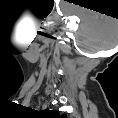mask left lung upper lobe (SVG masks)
Instances as JSON below:
<instances>
[{
  "mask_svg": "<svg viewBox=\"0 0 118 118\" xmlns=\"http://www.w3.org/2000/svg\"><path fill=\"white\" fill-rule=\"evenodd\" d=\"M46 112L49 113V114H52V115H58V113L54 112V111L46 110Z\"/></svg>",
  "mask_w": 118,
  "mask_h": 118,
  "instance_id": "5c2ea615",
  "label": "left lung upper lobe"
}]
</instances>
